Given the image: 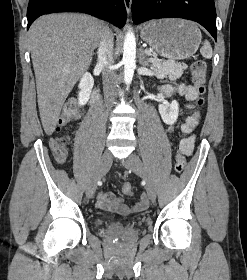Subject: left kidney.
I'll return each instance as SVG.
<instances>
[{"label": "left kidney", "mask_w": 247, "mask_h": 280, "mask_svg": "<svg viewBox=\"0 0 247 280\" xmlns=\"http://www.w3.org/2000/svg\"><path fill=\"white\" fill-rule=\"evenodd\" d=\"M157 100L159 101V113L164 123L172 125L177 121L179 114V104L177 101L168 103L165 101L162 94L157 95Z\"/></svg>", "instance_id": "5707ae66"}]
</instances>
